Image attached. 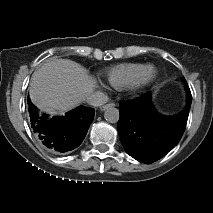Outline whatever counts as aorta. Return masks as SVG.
Here are the masks:
<instances>
[{"instance_id": "762f6f07", "label": "aorta", "mask_w": 213, "mask_h": 213, "mask_svg": "<svg viewBox=\"0 0 213 213\" xmlns=\"http://www.w3.org/2000/svg\"><path fill=\"white\" fill-rule=\"evenodd\" d=\"M120 113L117 108L109 105L104 112V119L108 123H117L119 121Z\"/></svg>"}]
</instances>
